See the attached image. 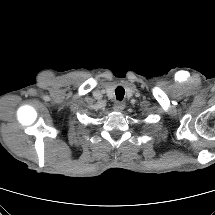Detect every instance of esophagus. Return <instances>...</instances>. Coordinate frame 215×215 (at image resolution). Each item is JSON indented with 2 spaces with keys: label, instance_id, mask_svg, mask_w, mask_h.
<instances>
[{
  "label": "esophagus",
  "instance_id": "34e87169",
  "mask_svg": "<svg viewBox=\"0 0 215 215\" xmlns=\"http://www.w3.org/2000/svg\"><path fill=\"white\" fill-rule=\"evenodd\" d=\"M124 108H125V103L120 101L115 102L113 107V109L117 112H121Z\"/></svg>",
  "mask_w": 215,
  "mask_h": 215
}]
</instances>
